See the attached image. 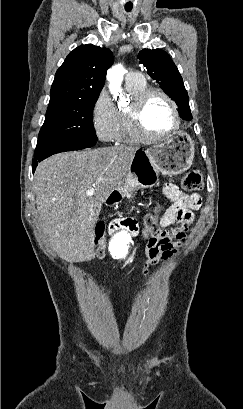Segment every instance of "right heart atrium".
I'll return each instance as SVG.
<instances>
[{"label":"right heart atrium","instance_id":"right-heart-atrium-1","mask_svg":"<svg viewBox=\"0 0 243 409\" xmlns=\"http://www.w3.org/2000/svg\"><path fill=\"white\" fill-rule=\"evenodd\" d=\"M91 122L96 136L104 142H112L118 133V111L107 91L97 96L91 113Z\"/></svg>","mask_w":243,"mask_h":409}]
</instances>
